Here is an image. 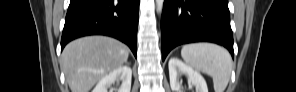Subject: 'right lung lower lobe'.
<instances>
[{
  "label": "right lung lower lobe",
  "mask_w": 296,
  "mask_h": 92,
  "mask_svg": "<svg viewBox=\"0 0 296 92\" xmlns=\"http://www.w3.org/2000/svg\"><path fill=\"white\" fill-rule=\"evenodd\" d=\"M139 0H71L61 50L73 39L107 35L127 44L136 56Z\"/></svg>",
  "instance_id": "98d812e1"
}]
</instances>
